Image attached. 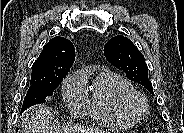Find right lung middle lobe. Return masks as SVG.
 Here are the masks:
<instances>
[{"label": "right lung middle lobe", "instance_id": "obj_1", "mask_svg": "<svg viewBox=\"0 0 184 133\" xmlns=\"http://www.w3.org/2000/svg\"><path fill=\"white\" fill-rule=\"evenodd\" d=\"M62 81L63 78H54L46 84H31L25 96L21 112L33 105L45 103L46 97L52 96L53 91Z\"/></svg>", "mask_w": 184, "mask_h": 133}]
</instances>
